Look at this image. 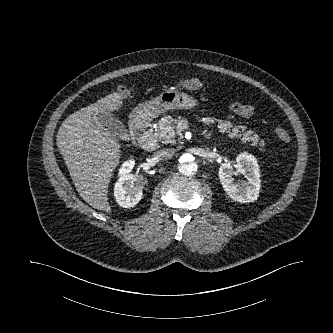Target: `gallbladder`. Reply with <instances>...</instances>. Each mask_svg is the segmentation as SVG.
Here are the masks:
<instances>
[{"label":"gallbladder","instance_id":"obj_1","mask_svg":"<svg viewBox=\"0 0 333 333\" xmlns=\"http://www.w3.org/2000/svg\"><path fill=\"white\" fill-rule=\"evenodd\" d=\"M96 126L111 137L117 139H127L128 133L124 124L113 114L100 111L95 115Z\"/></svg>","mask_w":333,"mask_h":333}]
</instances>
